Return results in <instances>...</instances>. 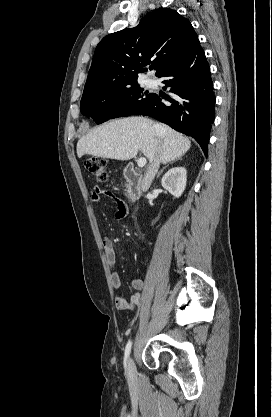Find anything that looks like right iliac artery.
<instances>
[{
  "label": "right iliac artery",
  "mask_w": 272,
  "mask_h": 417,
  "mask_svg": "<svg viewBox=\"0 0 272 417\" xmlns=\"http://www.w3.org/2000/svg\"><path fill=\"white\" fill-rule=\"evenodd\" d=\"M132 341H128L126 348H125V360L129 357L131 351Z\"/></svg>",
  "instance_id": "right-iliac-artery-1"
}]
</instances>
